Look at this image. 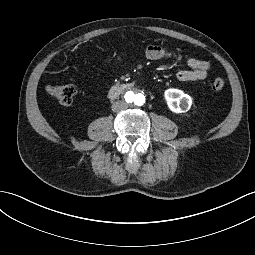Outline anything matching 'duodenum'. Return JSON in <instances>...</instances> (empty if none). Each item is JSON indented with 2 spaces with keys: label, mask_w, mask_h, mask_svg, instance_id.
<instances>
[{
  "label": "duodenum",
  "mask_w": 255,
  "mask_h": 255,
  "mask_svg": "<svg viewBox=\"0 0 255 255\" xmlns=\"http://www.w3.org/2000/svg\"><path fill=\"white\" fill-rule=\"evenodd\" d=\"M133 83H118L113 85L110 90H109V97L110 98H115L119 96L121 93L131 89L133 87Z\"/></svg>",
  "instance_id": "1"
}]
</instances>
